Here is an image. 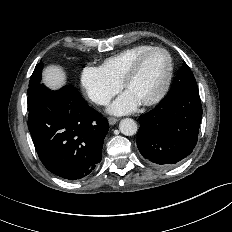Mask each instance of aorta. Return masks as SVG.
<instances>
[{
  "instance_id": "1",
  "label": "aorta",
  "mask_w": 232,
  "mask_h": 232,
  "mask_svg": "<svg viewBox=\"0 0 232 232\" xmlns=\"http://www.w3.org/2000/svg\"><path fill=\"white\" fill-rule=\"evenodd\" d=\"M120 132L126 136H132L137 132V124L131 118L121 120L119 124Z\"/></svg>"
}]
</instances>
